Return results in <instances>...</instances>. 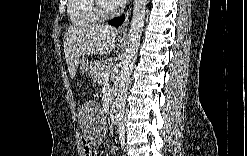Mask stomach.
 Returning a JSON list of instances; mask_svg holds the SVG:
<instances>
[{
	"instance_id": "0dacf381",
	"label": "stomach",
	"mask_w": 247,
	"mask_h": 156,
	"mask_svg": "<svg viewBox=\"0 0 247 156\" xmlns=\"http://www.w3.org/2000/svg\"><path fill=\"white\" fill-rule=\"evenodd\" d=\"M96 63H98V62H93V63H91V64L89 65L87 59L82 58V59L80 60V62H79V64H80V69H81L82 71H88V70H90V72H92V71L95 69V64H96Z\"/></svg>"
}]
</instances>
